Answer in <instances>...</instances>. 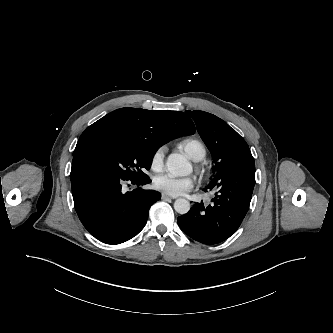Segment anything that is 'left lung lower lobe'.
<instances>
[{
    "mask_svg": "<svg viewBox=\"0 0 333 333\" xmlns=\"http://www.w3.org/2000/svg\"><path fill=\"white\" fill-rule=\"evenodd\" d=\"M255 185V163L251 152L225 164L205 187L216 190L212 202L196 203L178 217L179 227L194 240L206 245L223 242L241 225Z\"/></svg>",
    "mask_w": 333,
    "mask_h": 333,
    "instance_id": "left-lung-lower-lobe-1",
    "label": "left lung lower lobe"
}]
</instances>
